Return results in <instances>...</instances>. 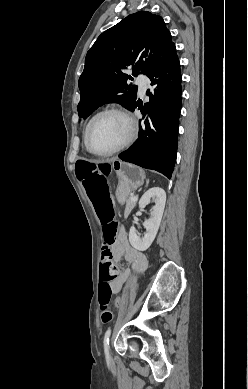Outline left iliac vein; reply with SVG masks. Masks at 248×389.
<instances>
[{"label": "left iliac vein", "mask_w": 248, "mask_h": 389, "mask_svg": "<svg viewBox=\"0 0 248 389\" xmlns=\"http://www.w3.org/2000/svg\"><path fill=\"white\" fill-rule=\"evenodd\" d=\"M108 353H109V360H111V354H110V351H109V349H108Z\"/></svg>", "instance_id": "left-iliac-vein-1"}]
</instances>
